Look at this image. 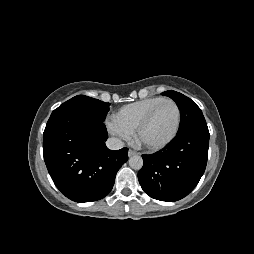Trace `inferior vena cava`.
Wrapping results in <instances>:
<instances>
[{
    "mask_svg": "<svg viewBox=\"0 0 254 254\" xmlns=\"http://www.w3.org/2000/svg\"><path fill=\"white\" fill-rule=\"evenodd\" d=\"M106 146L111 150H119L124 147V143L118 138H109L106 141Z\"/></svg>",
    "mask_w": 254,
    "mask_h": 254,
    "instance_id": "1",
    "label": "inferior vena cava"
}]
</instances>
